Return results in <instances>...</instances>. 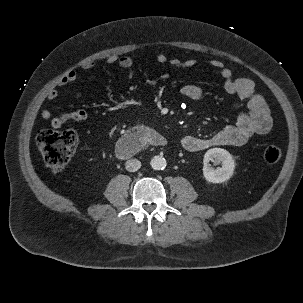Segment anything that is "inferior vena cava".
Here are the masks:
<instances>
[{"mask_svg":"<svg viewBox=\"0 0 303 303\" xmlns=\"http://www.w3.org/2000/svg\"><path fill=\"white\" fill-rule=\"evenodd\" d=\"M126 170L129 172H135L141 167V162L137 159H130L125 164Z\"/></svg>","mask_w":303,"mask_h":303,"instance_id":"602c4592","label":"inferior vena cava"}]
</instances>
